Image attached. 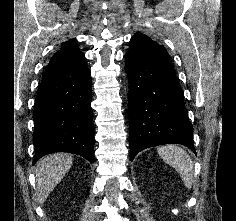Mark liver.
Here are the masks:
<instances>
[{"label":"liver","instance_id":"6515ba94","mask_svg":"<svg viewBox=\"0 0 236 221\" xmlns=\"http://www.w3.org/2000/svg\"><path fill=\"white\" fill-rule=\"evenodd\" d=\"M73 162L72 156L55 153L42 158L36 167V187L39 204H43L63 176L69 171Z\"/></svg>","mask_w":236,"mask_h":221}]
</instances>
